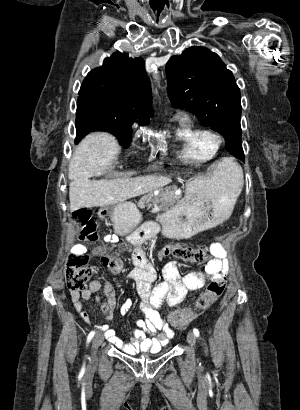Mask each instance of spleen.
Wrapping results in <instances>:
<instances>
[{
	"label": "spleen",
	"mask_w": 300,
	"mask_h": 410,
	"mask_svg": "<svg viewBox=\"0 0 300 410\" xmlns=\"http://www.w3.org/2000/svg\"><path fill=\"white\" fill-rule=\"evenodd\" d=\"M218 168L223 173L232 171L235 195L236 197H238L244 185L242 168L237 163H235L233 160L228 159V158L223 159V161L220 163Z\"/></svg>",
	"instance_id": "3e777b00"
}]
</instances>
